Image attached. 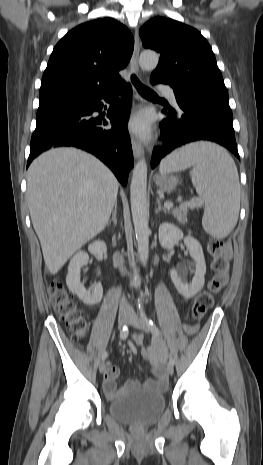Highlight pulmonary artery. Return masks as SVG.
<instances>
[{
  "mask_svg": "<svg viewBox=\"0 0 263 465\" xmlns=\"http://www.w3.org/2000/svg\"><path fill=\"white\" fill-rule=\"evenodd\" d=\"M160 91L173 103H176V97L173 89L168 86H161Z\"/></svg>",
  "mask_w": 263,
  "mask_h": 465,
  "instance_id": "pulmonary-artery-1",
  "label": "pulmonary artery"
}]
</instances>
